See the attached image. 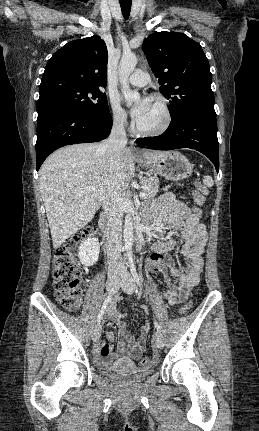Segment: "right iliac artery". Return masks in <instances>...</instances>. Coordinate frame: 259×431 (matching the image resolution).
<instances>
[{
  "instance_id": "1",
  "label": "right iliac artery",
  "mask_w": 259,
  "mask_h": 431,
  "mask_svg": "<svg viewBox=\"0 0 259 431\" xmlns=\"http://www.w3.org/2000/svg\"><path fill=\"white\" fill-rule=\"evenodd\" d=\"M111 299H112V294L110 293V294L106 297V299H105V301H104V303H103V305H102V308H101V310H100V312H99V315H98V317H97V323H100V322H101V320H102V318H103V315H104V313H105V310L107 309V307H108L109 303L111 302Z\"/></svg>"
}]
</instances>
